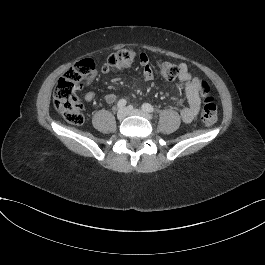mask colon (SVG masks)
Returning a JSON list of instances; mask_svg holds the SVG:
<instances>
[{"label":"colon","instance_id":"1","mask_svg":"<svg viewBox=\"0 0 265 265\" xmlns=\"http://www.w3.org/2000/svg\"><path fill=\"white\" fill-rule=\"evenodd\" d=\"M136 58V53L130 48L120 49L112 53L103 68L105 72L122 70L130 67ZM160 75L169 81L179 75V66L171 62H160L157 65ZM95 69L93 59L87 58L77 62L69 68L58 80L54 91V106L57 111L73 125H81L84 122L83 105L77 96V91L82 87L83 81ZM199 90L203 96L201 119L207 126L217 121V105L210 95V87L204 81H200Z\"/></svg>","mask_w":265,"mask_h":265}]
</instances>
